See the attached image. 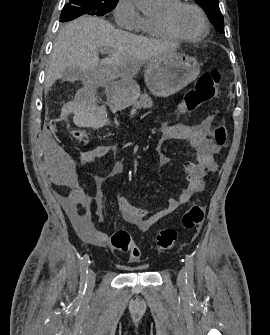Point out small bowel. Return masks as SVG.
Listing matches in <instances>:
<instances>
[{"label":"small bowel","instance_id":"c3829d8e","mask_svg":"<svg viewBox=\"0 0 270 335\" xmlns=\"http://www.w3.org/2000/svg\"><path fill=\"white\" fill-rule=\"evenodd\" d=\"M211 118L204 119L201 123L193 126L183 124H167L161 126V139L163 141L171 139H183L190 142L197 154V162L186 161L184 170L186 173V187L179 197L169 198L166 206L156 211L138 208L132 205L128 199L121 194L116 196L119 210L127 223L135 225L139 231L147 232L153 225L161 219L174 213L180 206L188 203L193 195L200 192L209 175L216 174L218 165L214 158L216 146L208 137V130ZM51 134H57L58 128L51 127ZM44 144L46 158H41V165H47L44 171V178H67L63 185L70 187L71 191L64 196L63 203L65 211L73 223L80 236L87 242L95 245L103 244L108 236L103 231L96 229L93 225V217L103 220L105 216V194L104 183L113 177L119 176L124 171V164L120 159L117 150L104 145L96 146L80 154L79 159L67 158V149L58 147L55 144L54 135H45ZM110 152L115 156V162L108 173H94L95 192L90 195L87 190L80 185L75 178H80V171H76L77 163L89 164L95 160L104 158ZM160 165L168 162V158L163 154H158ZM97 205V210L93 214L91 206ZM82 209V211H81Z\"/></svg>","mask_w":270,"mask_h":335}]
</instances>
